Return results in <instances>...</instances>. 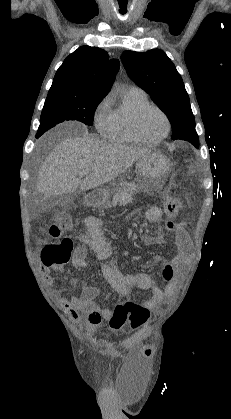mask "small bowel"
Returning <instances> with one entry per match:
<instances>
[{
	"label": "small bowel",
	"mask_w": 231,
	"mask_h": 419,
	"mask_svg": "<svg viewBox=\"0 0 231 419\" xmlns=\"http://www.w3.org/2000/svg\"><path fill=\"white\" fill-rule=\"evenodd\" d=\"M147 221L153 224H160L162 211L158 207H151L145 212ZM83 225L86 233L80 237L81 244L76 247L72 256V264L76 268H83L87 265L88 250H92L99 260V267L107 283L122 297H129L135 290H151L149 299L143 301L140 306L146 309L148 316L150 313L157 314L161 311L162 304L169 300L177 288V272L174 280H170L166 288L161 289L153 285L151 277L143 272H124L112 260L110 256L113 251V245L103 235V221L95 216H87L83 219ZM176 235V254L173 257V265L177 268L183 267L190 258L193 250L192 242L187 233L184 223H179L174 229ZM143 242L147 245H158L163 242V234L158 230L154 234H146ZM160 257L156 258L159 261ZM45 281L49 285L56 282V278L50 274L49 268L43 271ZM81 294L79 297H61L59 299L61 307L74 321L79 320V312L87 315L88 330L93 332L99 326L102 318L108 320L112 310L109 308L99 309L96 298L100 294L97 286L80 283Z\"/></svg>",
	"instance_id": "c3829d8e"
}]
</instances>
